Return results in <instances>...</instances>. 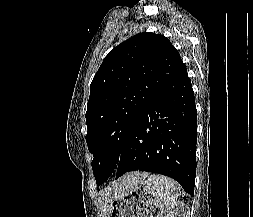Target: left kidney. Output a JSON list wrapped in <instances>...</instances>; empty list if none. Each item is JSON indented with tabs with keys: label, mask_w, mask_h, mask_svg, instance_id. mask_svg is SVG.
I'll return each instance as SVG.
<instances>
[{
	"label": "left kidney",
	"mask_w": 253,
	"mask_h": 217,
	"mask_svg": "<svg viewBox=\"0 0 253 217\" xmlns=\"http://www.w3.org/2000/svg\"><path fill=\"white\" fill-rule=\"evenodd\" d=\"M190 210L183 202L177 201L164 208L158 217H189Z\"/></svg>",
	"instance_id": "5707ae66"
}]
</instances>
